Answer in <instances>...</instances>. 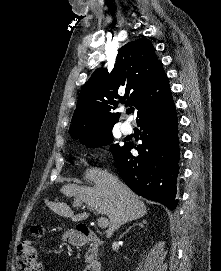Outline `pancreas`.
<instances>
[{"label": "pancreas", "instance_id": "1", "mask_svg": "<svg viewBox=\"0 0 221 271\" xmlns=\"http://www.w3.org/2000/svg\"><path fill=\"white\" fill-rule=\"evenodd\" d=\"M93 259H97V257H95V253L92 251V247H89V249L86 251L85 261L86 263H90V261H93Z\"/></svg>", "mask_w": 221, "mask_h": 271}]
</instances>
